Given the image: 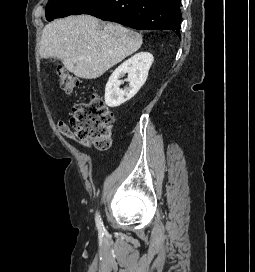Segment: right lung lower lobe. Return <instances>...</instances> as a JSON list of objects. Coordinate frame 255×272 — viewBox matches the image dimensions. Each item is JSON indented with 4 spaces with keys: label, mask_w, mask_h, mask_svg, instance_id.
Masks as SVG:
<instances>
[{
    "label": "right lung lower lobe",
    "mask_w": 255,
    "mask_h": 272,
    "mask_svg": "<svg viewBox=\"0 0 255 272\" xmlns=\"http://www.w3.org/2000/svg\"><path fill=\"white\" fill-rule=\"evenodd\" d=\"M181 0H90L72 15L90 14L134 29L172 30L179 37Z\"/></svg>",
    "instance_id": "98d812e1"
}]
</instances>
